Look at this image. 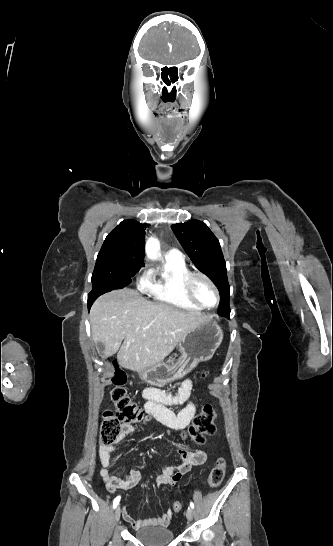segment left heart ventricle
I'll list each match as a JSON object with an SVG mask.
<instances>
[{
    "label": "left heart ventricle",
    "instance_id": "obj_1",
    "mask_svg": "<svg viewBox=\"0 0 333 546\" xmlns=\"http://www.w3.org/2000/svg\"><path fill=\"white\" fill-rule=\"evenodd\" d=\"M192 291L196 298L206 306H213L216 303L214 289L203 279L195 278L192 281Z\"/></svg>",
    "mask_w": 333,
    "mask_h": 546
}]
</instances>
